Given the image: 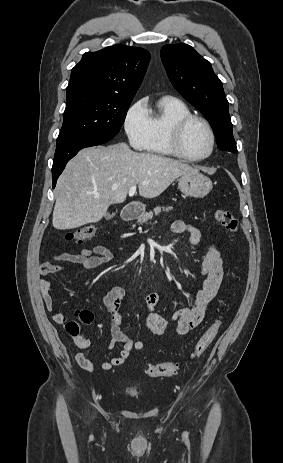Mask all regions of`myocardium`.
Segmentation results:
<instances>
[{
  "mask_svg": "<svg viewBox=\"0 0 283 463\" xmlns=\"http://www.w3.org/2000/svg\"><path fill=\"white\" fill-rule=\"evenodd\" d=\"M193 122H200L207 129L210 136V149L207 154L200 157H192L185 153L182 147V139L186 128ZM216 136L215 132L207 119L198 115H188L178 120L172 127L170 133V147L172 152L178 158L187 162H201L210 158L215 150Z\"/></svg>",
  "mask_w": 283,
  "mask_h": 463,
  "instance_id": "obj_1",
  "label": "myocardium"
}]
</instances>
